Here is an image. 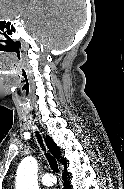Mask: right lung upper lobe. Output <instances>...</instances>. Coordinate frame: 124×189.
<instances>
[{"mask_svg": "<svg viewBox=\"0 0 124 189\" xmlns=\"http://www.w3.org/2000/svg\"><path fill=\"white\" fill-rule=\"evenodd\" d=\"M46 144L50 150V152L58 159L64 166H66L67 162L63 158H61V152L59 147H57L56 143L49 137H46Z\"/></svg>", "mask_w": 124, "mask_h": 189, "instance_id": "right-lung-upper-lobe-1", "label": "right lung upper lobe"}]
</instances>
